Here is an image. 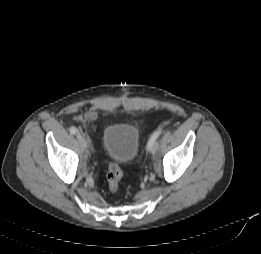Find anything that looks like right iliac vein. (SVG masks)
Here are the masks:
<instances>
[{
	"label": "right iliac vein",
	"mask_w": 261,
	"mask_h": 254,
	"mask_svg": "<svg viewBox=\"0 0 261 254\" xmlns=\"http://www.w3.org/2000/svg\"><path fill=\"white\" fill-rule=\"evenodd\" d=\"M77 139L83 149H86L88 147V145H90V141L84 139V137L79 133L77 134Z\"/></svg>",
	"instance_id": "63e3f726"
}]
</instances>
